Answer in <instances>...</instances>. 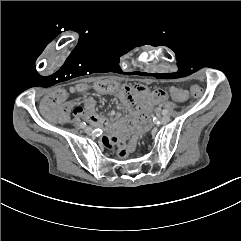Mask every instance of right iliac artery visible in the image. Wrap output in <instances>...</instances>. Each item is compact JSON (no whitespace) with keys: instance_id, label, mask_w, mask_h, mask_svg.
<instances>
[{"instance_id":"82829eb1","label":"right iliac artery","mask_w":241,"mask_h":241,"mask_svg":"<svg viewBox=\"0 0 241 241\" xmlns=\"http://www.w3.org/2000/svg\"><path fill=\"white\" fill-rule=\"evenodd\" d=\"M80 127H81V128H85V127H86V123H85V122H81V123H80Z\"/></svg>"}]
</instances>
